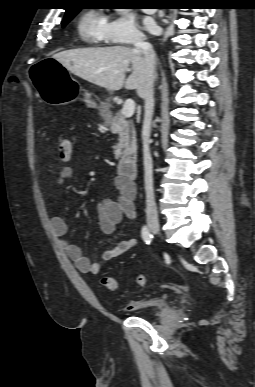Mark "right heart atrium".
Here are the masks:
<instances>
[{"label":"right heart atrium","instance_id":"1","mask_svg":"<svg viewBox=\"0 0 255 387\" xmlns=\"http://www.w3.org/2000/svg\"><path fill=\"white\" fill-rule=\"evenodd\" d=\"M105 41L115 45H129L143 41L145 35L128 12H119L107 21L104 29Z\"/></svg>","mask_w":255,"mask_h":387}]
</instances>
